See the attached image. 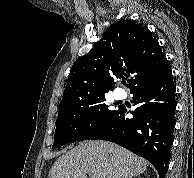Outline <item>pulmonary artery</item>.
<instances>
[{
  "instance_id": "e3ab8cb5",
  "label": "pulmonary artery",
  "mask_w": 194,
  "mask_h": 178,
  "mask_svg": "<svg viewBox=\"0 0 194 178\" xmlns=\"http://www.w3.org/2000/svg\"><path fill=\"white\" fill-rule=\"evenodd\" d=\"M114 97H115V99L120 100V99L124 98V92L122 90H116L114 92Z\"/></svg>"
}]
</instances>
